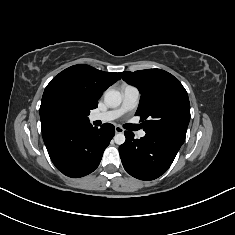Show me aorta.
I'll use <instances>...</instances> for the list:
<instances>
[{"mask_svg": "<svg viewBox=\"0 0 235 235\" xmlns=\"http://www.w3.org/2000/svg\"><path fill=\"white\" fill-rule=\"evenodd\" d=\"M104 102L109 107H117L122 102V96L119 91L114 89H108L104 94ZM125 135L123 133H117L114 136V142L118 145H122L125 142Z\"/></svg>", "mask_w": 235, "mask_h": 235, "instance_id": "762f6f07", "label": "aorta"}]
</instances>
